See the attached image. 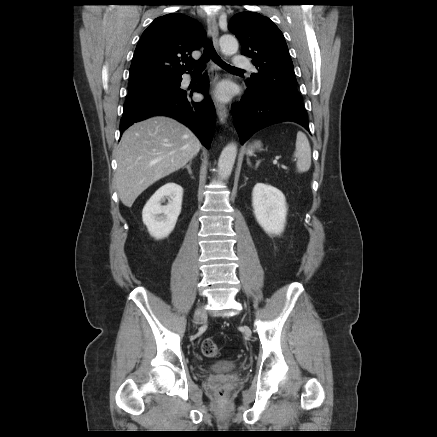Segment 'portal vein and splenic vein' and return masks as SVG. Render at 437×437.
<instances>
[{
	"label": "portal vein and splenic vein",
	"instance_id": "portal-vein-and-splenic-vein-1",
	"mask_svg": "<svg viewBox=\"0 0 437 437\" xmlns=\"http://www.w3.org/2000/svg\"><path fill=\"white\" fill-rule=\"evenodd\" d=\"M273 164H277V161L274 160V161H273ZM282 168H286V167H285V166H282Z\"/></svg>",
	"mask_w": 437,
	"mask_h": 437
}]
</instances>
